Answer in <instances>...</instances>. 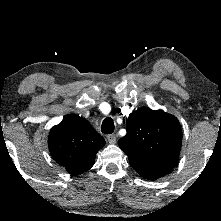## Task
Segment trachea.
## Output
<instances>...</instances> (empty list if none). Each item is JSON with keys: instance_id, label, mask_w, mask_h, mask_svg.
<instances>
[{"instance_id": "trachea-1", "label": "trachea", "mask_w": 221, "mask_h": 221, "mask_svg": "<svg viewBox=\"0 0 221 221\" xmlns=\"http://www.w3.org/2000/svg\"><path fill=\"white\" fill-rule=\"evenodd\" d=\"M114 121L112 118L107 117L106 119L103 120L102 125H101V131L104 134H112L114 131Z\"/></svg>"}]
</instances>
